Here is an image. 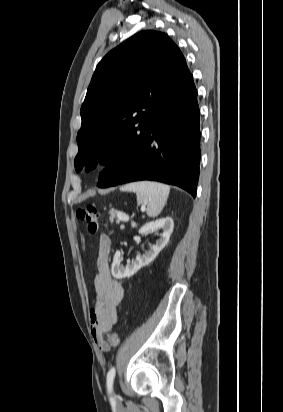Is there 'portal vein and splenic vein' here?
I'll return each instance as SVG.
<instances>
[{"instance_id": "18ae733b", "label": "portal vein and splenic vein", "mask_w": 283, "mask_h": 412, "mask_svg": "<svg viewBox=\"0 0 283 412\" xmlns=\"http://www.w3.org/2000/svg\"><path fill=\"white\" fill-rule=\"evenodd\" d=\"M117 217L121 221H124V222L129 221V217L126 214L122 213V212H118Z\"/></svg>"}]
</instances>
